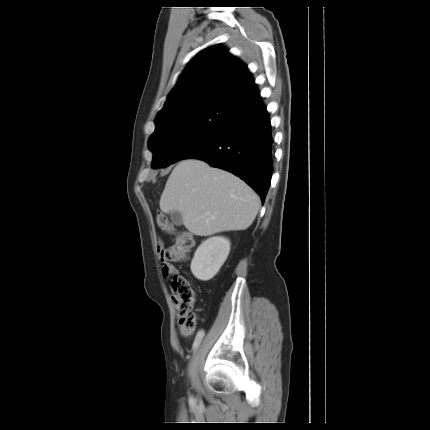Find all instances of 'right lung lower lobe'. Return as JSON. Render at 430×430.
<instances>
[{
    "mask_svg": "<svg viewBox=\"0 0 430 430\" xmlns=\"http://www.w3.org/2000/svg\"><path fill=\"white\" fill-rule=\"evenodd\" d=\"M273 137L266 107L259 98L216 137L185 159H199L227 170L251 186L264 202L273 172Z\"/></svg>",
    "mask_w": 430,
    "mask_h": 430,
    "instance_id": "98d812e1",
    "label": "right lung lower lobe"
}]
</instances>
